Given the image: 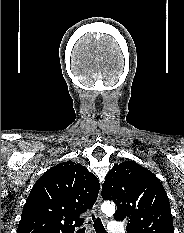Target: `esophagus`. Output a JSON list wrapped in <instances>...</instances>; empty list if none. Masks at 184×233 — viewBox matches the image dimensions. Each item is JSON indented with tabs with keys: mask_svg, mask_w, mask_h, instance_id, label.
<instances>
[{
	"mask_svg": "<svg viewBox=\"0 0 184 233\" xmlns=\"http://www.w3.org/2000/svg\"><path fill=\"white\" fill-rule=\"evenodd\" d=\"M101 201H102V198H101V191H100L97 201L95 203V210L97 211L98 215H101V210H100Z\"/></svg>",
	"mask_w": 184,
	"mask_h": 233,
	"instance_id": "1",
	"label": "esophagus"
}]
</instances>
